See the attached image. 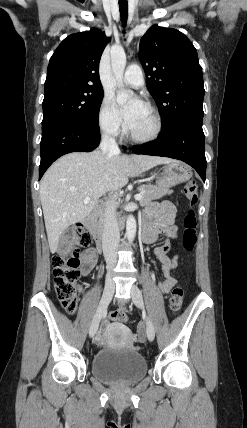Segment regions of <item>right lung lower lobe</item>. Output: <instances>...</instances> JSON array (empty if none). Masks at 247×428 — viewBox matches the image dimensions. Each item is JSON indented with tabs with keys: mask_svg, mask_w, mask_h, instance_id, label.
Instances as JSON below:
<instances>
[{
	"mask_svg": "<svg viewBox=\"0 0 247 428\" xmlns=\"http://www.w3.org/2000/svg\"><path fill=\"white\" fill-rule=\"evenodd\" d=\"M99 142V125H86L64 119L42 123L39 179L60 156L70 152L92 151Z\"/></svg>",
	"mask_w": 247,
	"mask_h": 428,
	"instance_id": "obj_1",
	"label": "right lung lower lobe"
}]
</instances>
